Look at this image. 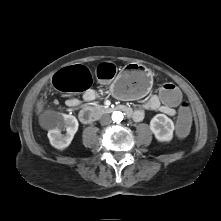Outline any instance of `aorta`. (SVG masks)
Returning a JSON list of instances; mask_svg holds the SVG:
<instances>
[{"instance_id":"1","label":"aorta","mask_w":221,"mask_h":221,"mask_svg":"<svg viewBox=\"0 0 221 221\" xmlns=\"http://www.w3.org/2000/svg\"><path fill=\"white\" fill-rule=\"evenodd\" d=\"M124 116L121 111H114L112 114V120L114 122L120 123L123 120Z\"/></svg>"}]
</instances>
